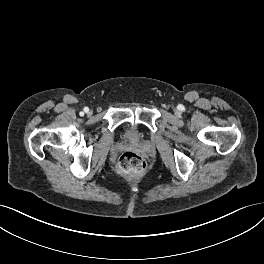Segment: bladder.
Segmentation results:
<instances>
[{
    "instance_id": "obj_1",
    "label": "bladder",
    "mask_w": 264,
    "mask_h": 264,
    "mask_svg": "<svg viewBox=\"0 0 264 264\" xmlns=\"http://www.w3.org/2000/svg\"><path fill=\"white\" fill-rule=\"evenodd\" d=\"M121 136L125 141L133 144H138L144 139V134L140 129L136 125L129 123L122 127Z\"/></svg>"
}]
</instances>
